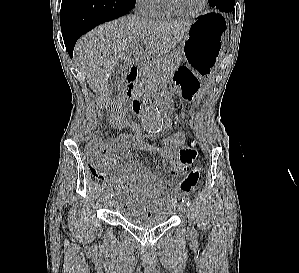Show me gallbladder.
I'll use <instances>...</instances> for the list:
<instances>
[{"mask_svg": "<svg viewBox=\"0 0 299 273\" xmlns=\"http://www.w3.org/2000/svg\"><path fill=\"white\" fill-rule=\"evenodd\" d=\"M128 66L122 62H118L112 70L109 79V89L111 96L114 98H123L126 90V75Z\"/></svg>", "mask_w": 299, "mask_h": 273, "instance_id": "1", "label": "gallbladder"}]
</instances>
